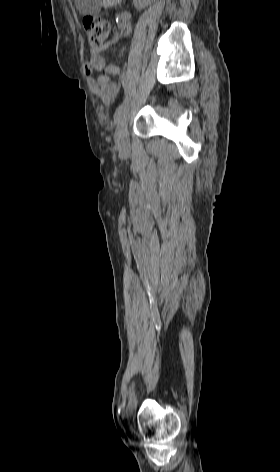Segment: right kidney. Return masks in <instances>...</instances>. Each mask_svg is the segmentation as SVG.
Returning a JSON list of instances; mask_svg holds the SVG:
<instances>
[{"label":"right kidney","instance_id":"ca27d5eb","mask_svg":"<svg viewBox=\"0 0 280 472\" xmlns=\"http://www.w3.org/2000/svg\"><path fill=\"white\" fill-rule=\"evenodd\" d=\"M151 0H134L136 9L140 10L145 8Z\"/></svg>","mask_w":280,"mask_h":472}]
</instances>
